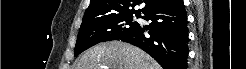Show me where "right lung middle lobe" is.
<instances>
[{
	"label": "right lung middle lobe",
	"mask_w": 246,
	"mask_h": 69,
	"mask_svg": "<svg viewBox=\"0 0 246 69\" xmlns=\"http://www.w3.org/2000/svg\"><path fill=\"white\" fill-rule=\"evenodd\" d=\"M140 17V14H135ZM133 21V14L113 15L99 20L82 21L77 42L75 56L88 48L111 40H118L129 31L138 27Z\"/></svg>",
	"instance_id": "dd1d6c3e"
}]
</instances>
